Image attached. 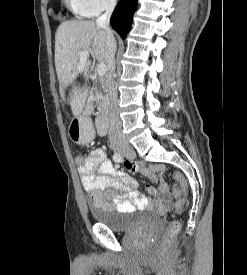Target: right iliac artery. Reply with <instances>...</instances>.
Instances as JSON below:
<instances>
[{
    "instance_id": "right-iliac-artery-1",
    "label": "right iliac artery",
    "mask_w": 247,
    "mask_h": 275,
    "mask_svg": "<svg viewBox=\"0 0 247 275\" xmlns=\"http://www.w3.org/2000/svg\"><path fill=\"white\" fill-rule=\"evenodd\" d=\"M122 159H123V157H122L120 154H118V153H115V154L113 155V160H114L115 162H117V163L121 162Z\"/></svg>"
}]
</instances>
